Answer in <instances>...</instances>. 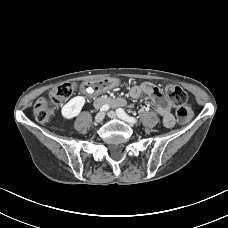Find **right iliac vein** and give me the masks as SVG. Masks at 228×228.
I'll use <instances>...</instances> for the list:
<instances>
[{"mask_svg": "<svg viewBox=\"0 0 228 228\" xmlns=\"http://www.w3.org/2000/svg\"><path fill=\"white\" fill-rule=\"evenodd\" d=\"M105 117V113L104 112H99L96 116H95V123H101L103 121Z\"/></svg>", "mask_w": 228, "mask_h": 228, "instance_id": "obj_1", "label": "right iliac vein"}]
</instances>
